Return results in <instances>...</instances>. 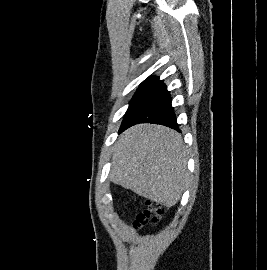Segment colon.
I'll return each instance as SVG.
<instances>
[{
  "label": "colon",
  "instance_id": "1",
  "mask_svg": "<svg viewBox=\"0 0 267 270\" xmlns=\"http://www.w3.org/2000/svg\"><path fill=\"white\" fill-rule=\"evenodd\" d=\"M163 213V208L158 206L149 205V208L139 213L136 220L134 221V227L137 229L143 228L147 224H156Z\"/></svg>",
  "mask_w": 267,
  "mask_h": 270
}]
</instances>
